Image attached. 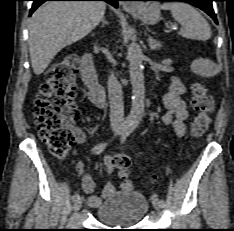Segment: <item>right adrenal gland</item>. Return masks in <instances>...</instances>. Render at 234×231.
<instances>
[{"label":"right adrenal gland","mask_w":234,"mask_h":231,"mask_svg":"<svg viewBox=\"0 0 234 231\" xmlns=\"http://www.w3.org/2000/svg\"><path fill=\"white\" fill-rule=\"evenodd\" d=\"M105 25H108V21H106V19L103 18L101 27H104Z\"/></svg>","instance_id":"1"}]
</instances>
